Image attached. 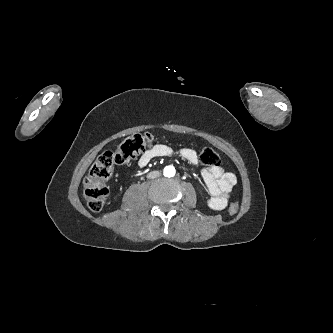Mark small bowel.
<instances>
[{
	"label": "small bowel",
	"instance_id": "small-bowel-1",
	"mask_svg": "<svg viewBox=\"0 0 333 333\" xmlns=\"http://www.w3.org/2000/svg\"><path fill=\"white\" fill-rule=\"evenodd\" d=\"M178 153L179 156L191 164L198 162L197 153L191 148H182ZM172 154L173 149L171 147L162 144L155 145L143 153L138 160V166L143 168L154 158L170 156ZM201 174L209 192L208 206L213 210H223L227 206L229 196L237 183L236 175L225 171L219 165L204 168Z\"/></svg>",
	"mask_w": 333,
	"mask_h": 333
}]
</instances>
